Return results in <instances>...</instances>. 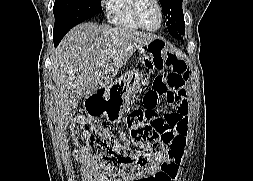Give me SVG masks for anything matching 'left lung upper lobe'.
I'll use <instances>...</instances> for the list:
<instances>
[{
	"instance_id": "1",
	"label": "left lung upper lobe",
	"mask_w": 253,
	"mask_h": 181,
	"mask_svg": "<svg viewBox=\"0 0 253 181\" xmlns=\"http://www.w3.org/2000/svg\"><path fill=\"white\" fill-rule=\"evenodd\" d=\"M163 14L168 19L166 23L169 33L177 39H183L184 35V15L182 11V0H160Z\"/></svg>"
}]
</instances>
